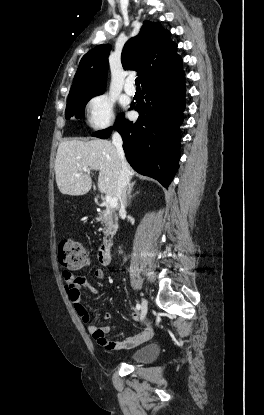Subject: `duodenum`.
<instances>
[{
	"instance_id": "obj_1",
	"label": "duodenum",
	"mask_w": 264,
	"mask_h": 415,
	"mask_svg": "<svg viewBox=\"0 0 264 415\" xmlns=\"http://www.w3.org/2000/svg\"><path fill=\"white\" fill-rule=\"evenodd\" d=\"M112 242H107L101 246L99 258L104 265H110L112 262Z\"/></svg>"
}]
</instances>
